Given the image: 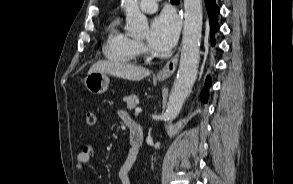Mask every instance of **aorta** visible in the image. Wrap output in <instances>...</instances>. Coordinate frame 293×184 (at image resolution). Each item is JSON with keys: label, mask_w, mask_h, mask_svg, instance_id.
Here are the masks:
<instances>
[{"label": "aorta", "mask_w": 293, "mask_h": 184, "mask_svg": "<svg viewBox=\"0 0 293 184\" xmlns=\"http://www.w3.org/2000/svg\"><path fill=\"white\" fill-rule=\"evenodd\" d=\"M126 12L128 32L133 36L144 35L148 20L138 7V0H121ZM185 20L182 49L177 77L169 96L165 121H173L180 113L196 81L200 60L202 32V0H184Z\"/></svg>", "instance_id": "1"}]
</instances>
